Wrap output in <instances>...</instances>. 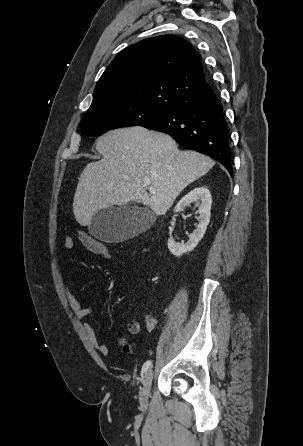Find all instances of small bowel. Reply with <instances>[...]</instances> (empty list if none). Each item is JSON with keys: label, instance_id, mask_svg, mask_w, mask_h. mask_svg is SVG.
I'll return each mask as SVG.
<instances>
[{"label": "small bowel", "instance_id": "c3829d8e", "mask_svg": "<svg viewBox=\"0 0 303 446\" xmlns=\"http://www.w3.org/2000/svg\"><path fill=\"white\" fill-rule=\"evenodd\" d=\"M78 240L81 242V244L91 253L97 254V246H98V240L91 237L89 234H87L85 231L80 230L77 233ZM64 244L66 249L71 250L74 247V238L70 235L65 237ZM66 296L69 303L70 308L74 312L75 316L78 319H82L88 315H90L93 311V307H86L81 304V302L71 293V291L66 287ZM157 324V321L155 317L151 313H147L145 315L144 319V327L148 331H152L155 329ZM143 324L141 321H139L136 318H131L128 321L127 329L128 332L132 335L139 334L142 330ZM86 331L88 334V337L90 339L91 344L93 347L98 350L100 353L106 355L109 351V348L107 344L101 343L98 341L96 333L94 331V328L92 325L88 324L86 326Z\"/></svg>", "mask_w": 303, "mask_h": 446}]
</instances>
